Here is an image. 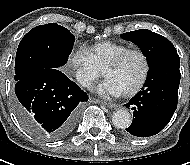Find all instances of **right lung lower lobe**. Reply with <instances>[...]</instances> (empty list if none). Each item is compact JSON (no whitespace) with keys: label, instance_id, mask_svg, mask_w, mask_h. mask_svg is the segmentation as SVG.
Returning <instances> with one entry per match:
<instances>
[{"label":"right lung lower lobe","instance_id":"1","mask_svg":"<svg viewBox=\"0 0 190 165\" xmlns=\"http://www.w3.org/2000/svg\"><path fill=\"white\" fill-rule=\"evenodd\" d=\"M15 112L23 126L42 140H58L72 133L78 105L87 94L57 68L34 71L15 84Z\"/></svg>","mask_w":190,"mask_h":165}]
</instances>
